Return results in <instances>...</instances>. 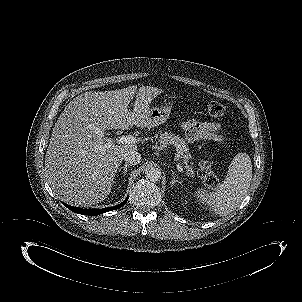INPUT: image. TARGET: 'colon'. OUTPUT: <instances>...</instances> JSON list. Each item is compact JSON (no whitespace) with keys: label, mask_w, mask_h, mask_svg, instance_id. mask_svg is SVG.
Returning a JSON list of instances; mask_svg holds the SVG:
<instances>
[{"label":"colon","mask_w":302,"mask_h":302,"mask_svg":"<svg viewBox=\"0 0 302 302\" xmlns=\"http://www.w3.org/2000/svg\"><path fill=\"white\" fill-rule=\"evenodd\" d=\"M208 112L213 117H221L225 113V106L220 102L213 101L208 105ZM199 175L206 186L214 188L218 185V179L212 170L211 163L208 160L201 162Z\"/></svg>","instance_id":"1"}]
</instances>
